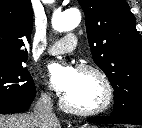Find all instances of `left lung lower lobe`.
I'll use <instances>...</instances> for the list:
<instances>
[{"label":"left lung lower lobe","instance_id":"obj_1","mask_svg":"<svg viewBox=\"0 0 142 128\" xmlns=\"http://www.w3.org/2000/svg\"><path fill=\"white\" fill-rule=\"evenodd\" d=\"M88 122L92 123H106V124H117V123H127V124H141L142 125V112H131L122 115L110 116H98L90 119Z\"/></svg>","mask_w":142,"mask_h":128}]
</instances>
